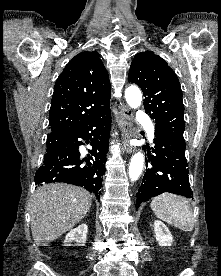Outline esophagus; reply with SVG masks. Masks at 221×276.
<instances>
[{
    "label": "esophagus",
    "mask_w": 221,
    "mask_h": 276,
    "mask_svg": "<svg viewBox=\"0 0 221 276\" xmlns=\"http://www.w3.org/2000/svg\"><path fill=\"white\" fill-rule=\"evenodd\" d=\"M132 113L128 106L121 104L119 112V121L121 125V135L123 149L126 153H132L133 148L129 144V141L133 137V129L131 124Z\"/></svg>",
    "instance_id": "esophagus-1"
}]
</instances>
